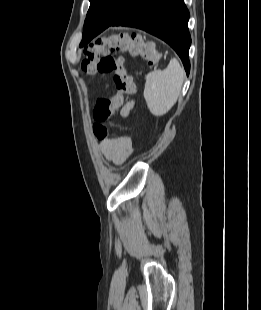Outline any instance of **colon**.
<instances>
[{"label":"colon","instance_id":"1","mask_svg":"<svg viewBox=\"0 0 261 310\" xmlns=\"http://www.w3.org/2000/svg\"><path fill=\"white\" fill-rule=\"evenodd\" d=\"M115 53L140 57L151 67L156 66L160 61V54L153 44L144 42L135 33H113L99 38L92 46L85 49L84 59L81 62L82 70L87 74L112 73L117 89L114 96L100 98L95 105L93 132L100 140L109 136L105 122L115 115L125 98L133 95L136 90L132 76L125 69L123 58L114 56Z\"/></svg>","mask_w":261,"mask_h":310}]
</instances>
